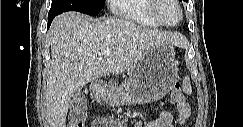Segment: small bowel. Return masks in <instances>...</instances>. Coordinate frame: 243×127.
I'll return each instance as SVG.
<instances>
[{"label":"small bowel","instance_id":"c3829d8e","mask_svg":"<svg viewBox=\"0 0 243 127\" xmlns=\"http://www.w3.org/2000/svg\"><path fill=\"white\" fill-rule=\"evenodd\" d=\"M176 107L178 116L175 121H173L170 111L163 110L159 113L158 117L147 124V127H178L184 125L191 114L190 106L186 101H183L176 102ZM92 127H121V124L100 118L92 123Z\"/></svg>","mask_w":243,"mask_h":127}]
</instances>
